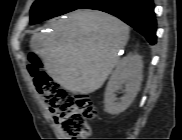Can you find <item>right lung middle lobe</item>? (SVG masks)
I'll use <instances>...</instances> for the list:
<instances>
[{"label":"right lung middle lobe","instance_id":"right-lung-middle-lobe-1","mask_svg":"<svg viewBox=\"0 0 182 140\" xmlns=\"http://www.w3.org/2000/svg\"><path fill=\"white\" fill-rule=\"evenodd\" d=\"M88 0H36L30 10V24L71 12Z\"/></svg>","mask_w":182,"mask_h":140}]
</instances>
